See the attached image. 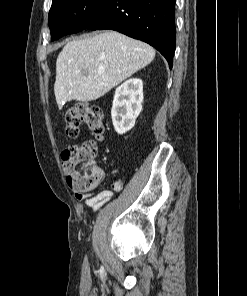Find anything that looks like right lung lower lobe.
<instances>
[{
  "instance_id": "right-lung-lower-lobe-1",
  "label": "right lung lower lobe",
  "mask_w": 247,
  "mask_h": 296,
  "mask_svg": "<svg viewBox=\"0 0 247 296\" xmlns=\"http://www.w3.org/2000/svg\"><path fill=\"white\" fill-rule=\"evenodd\" d=\"M176 0H103L86 28L112 29L156 48L172 68Z\"/></svg>"
}]
</instances>
